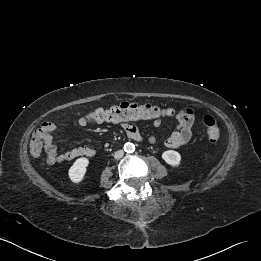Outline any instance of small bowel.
<instances>
[{"label": "small bowel", "mask_w": 261, "mask_h": 261, "mask_svg": "<svg viewBox=\"0 0 261 261\" xmlns=\"http://www.w3.org/2000/svg\"><path fill=\"white\" fill-rule=\"evenodd\" d=\"M177 121L174 131L165 139L164 144L168 148H178L186 145L192 136V126L194 124V114L189 108L185 109L175 115ZM96 121L87 118H80L78 120L79 126H87ZM114 124H120L122 129L131 137L133 133H139L138 128L134 125L127 123L126 121L111 122ZM160 119L153 121V126L158 127L160 125ZM47 129L46 141H45V153L48 164H57L65 161H70L78 157H92L96 154V149L91 147H71L65 150L63 153H59L57 146L53 142L51 133L57 130V126L52 123H46L43 125ZM150 143H156L157 138L151 136L149 138Z\"/></svg>", "instance_id": "small-bowel-1"}]
</instances>
